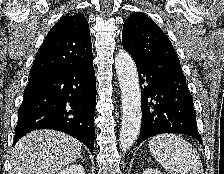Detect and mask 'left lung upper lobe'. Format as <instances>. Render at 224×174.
<instances>
[{
    "label": "left lung upper lobe",
    "mask_w": 224,
    "mask_h": 174,
    "mask_svg": "<svg viewBox=\"0 0 224 174\" xmlns=\"http://www.w3.org/2000/svg\"><path fill=\"white\" fill-rule=\"evenodd\" d=\"M122 43L135 63L166 67L183 73L169 38L144 13L134 12L124 22Z\"/></svg>",
    "instance_id": "obj_1"
}]
</instances>
